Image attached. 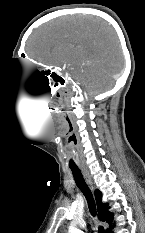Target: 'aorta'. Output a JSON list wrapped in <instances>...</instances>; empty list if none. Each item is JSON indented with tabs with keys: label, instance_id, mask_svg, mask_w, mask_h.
I'll return each instance as SVG.
<instances>
[{
	"label": "aorta",
	"instance_id": "762f6f07",
	"mask_svg": "<svg viewBox=\"0 0 145 233\" xmlns=\"http://www.w3.org/2000/svg\"><path fill=\"white\" fill-rule=\"evenodd\" d=\"M85 227V222L82 219L73 220L70 223L68 233H82L80 229Z\"/></svg>",
	"mask_w": 145,
	"mask_h": 233
}]
</instances>
